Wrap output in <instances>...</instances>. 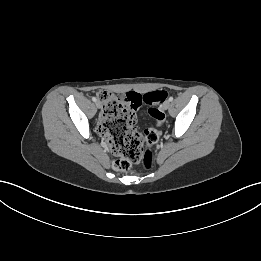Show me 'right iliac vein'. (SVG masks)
<instances>
[{
  "label": "right iliac vein",
  "mask_w": 261,
  "mask_h": 261,
  "mask_svg": "<svg viewBox=\"0 0 261 261\" xmlns=\"http://www.w3.org/2000/svg\"><path fill=\"white\" fill-rule=\"evenodd\" d=\"M96 106H97V108H101V102L100 101H96Z\"/></svg>",
  "instance_id": "obj_1"
}]
</instances>
